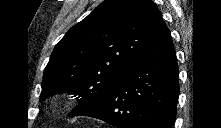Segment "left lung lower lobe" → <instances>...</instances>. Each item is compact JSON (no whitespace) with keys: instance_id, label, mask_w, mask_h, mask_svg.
<instances>
[{"instance_id":"left-lung-lower-lobe-1","label":"left lung lower lobe","mask_w":221,"mask_h":128,"mask_svg":"<svg viewBox=\"0 0 221 128\" xmlns=\"http://www.w3.org/2000/svg\"><path fill=\"white\" fill-rule=\"evenodd\" d=\"M178 97L176 53L166 26L107 97L77 116L94 117L117 128H172Z\"/></svg>"}]
</instances>
